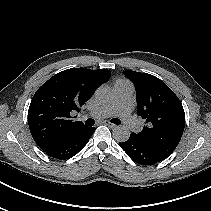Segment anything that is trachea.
I'll return each mask as SVG.
<instances>
[{"instance_id":"1","label":"trachea","mask_w":211,"mask_h":211,"mask_svg":"<svg viewBox=\"0 0 211 211\" xmlns=\"http://www.w3.org/2000/svg\"><path fill=\"white\" fill-rule=\"evenodd\" d=\"M111 122L116 124V125L121 124V121L119 119H117V118L112 119ZM94 123H95V121L93 119H87L86 122H85V124L87 126H93Z\"/></svg>"}]
</instances>
